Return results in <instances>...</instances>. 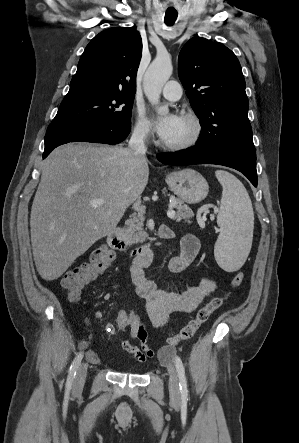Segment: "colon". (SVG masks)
<instances>
[{"instance_id": "5ec220e1", "label": "colon", "mask_w": 299, "mask_h": 443, "mask_svg": "<svg viewBox=\"0 0 299 443\" xmlns=\"http://www.w3.org/2000/svg\"><path fill=\"white\" fill-rule=\"evenodd\" d=\"M114 259L115 253L112 248L106 245L98 247L92 252L89 262L83 263L64 274L61 280V288L67 293L71 301H77L84 288L107 271ZM244 279L245 274L242 271L237 272L231 280V287L240 286ZM227 295L228 293L224 296H215L202 306L196 315L176 334L169 337L168 347L162 350L161 355H169L175 345L191 338L198 328L209 319L210 315L222 305ZM114 326L118 332H129L131 338L137 342L145 335L142 318L131 308H124L117 312Z\"/></svg>"}]
</instances>
